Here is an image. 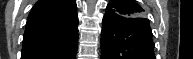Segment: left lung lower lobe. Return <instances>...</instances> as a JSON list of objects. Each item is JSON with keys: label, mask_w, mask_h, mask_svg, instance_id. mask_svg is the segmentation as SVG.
<instances>
[{"label": "left lung lower lobe", "mask_w": 193, "mask_h": 59, "mask_svg": "<svg viewBox=\"0 0 193 59\" xmlns=\"http://www.w3.org/2000/svg\"><path fill=\"white\" fill-rule=\"evenodd\" d=\"M101 59H156L149 21H135L106 12L101 32Z\"/></svg>", "instance_id": "obj_1"}]
</instances>
